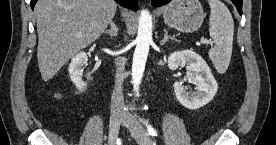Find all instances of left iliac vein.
<instances>
[{
	"label": "left iliac vein",
	"instance_id": "left-iliac-vein-1",
	"mask_svg": "<svg viewBox=\"0 0 276 145\" xmlns=\"http://www.w3.org/2000/svg\"><path fill=\"white\" fill-rule=\"evenodd\" d=\"M123 125L128 127L132 136L135 138L137 143L141 145H150L151 138L147 133L146 129L140 124V122L131 114L125 115L123 119Z\"/></svg>",
	"mask_w": 276,
	"mask_h": 145
}]
</instances>
